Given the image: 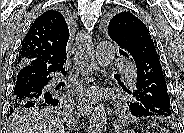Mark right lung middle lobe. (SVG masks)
<instances>
[{
  "instance_id": "obj_1",
  "label": "right lung middle lobe",
  "mask_w": 184,
  "mask_h": 133,
  "mask_svg": "<svg viewBox=\"0 0 184 133\" xmlns=\"http://www.w3.org/2000/svg\"><path fill=\"white\" fill-rule=\"evenodd\" d=\"M56 106H60V105H54L51 107H56ZM42 106H38V105H26L24 103H15L12 102L11 104V112H15L16 114L19 115H23L29 112H33V111H37L39 108H41ZM55 110V109H53Z\"/></svg>"
}]
</instances>
